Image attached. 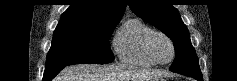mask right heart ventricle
Here are the masks:
<instances>
[{
    "instance_id": "obj_1",
    "label": "right heart ventricle",
    "mask_w": 237,
    "mask_h": 81,
    "mask_svg": "<svg viewBox=\"0 0 237 81\" xmlns=\"http://www.w3.org/2000/svg\"><path fill=\"white\" fill-rule=\"evenodd\" d=\"M153 29L139 18L127 19L116 31L113 48L120 61L140 67H151L155 62L147 51V38Z\"/></svg>"
}]
</instances>
